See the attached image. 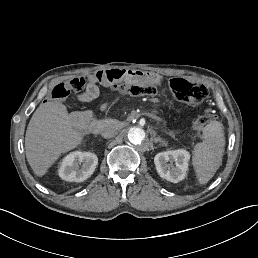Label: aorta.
<instances>
[{
    "label": "aorta",
    "instance_id": "762f6f07",
    "mask_svg": "<svg viewBox=\"0 0 258 258\" xmlns=\"http://www.w3.org/2000/svg\"><path fill=\"white\" fill-rule=\"evenodd\" d=\"M146 133L140 127H131L128 130L127 138L134 145H140L145 140Z\"/></svg>",
    "mask_w": 258,
    "mask_h": 258
}]
</instances>
